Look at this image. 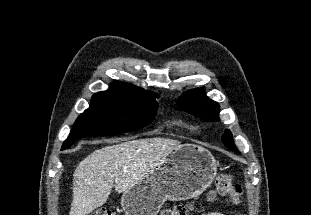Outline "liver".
<instances>
[{
    "mask_svg": "<svg viewBox=\"0 0 311 215\" xmlns=\"http://www.w3.org/2000/svg\"><path fill=\"white\" fill-rule=\"evenodd\" d=\"M119 141L95 150L76 167L70 215H88L105 204L114 181L117 193L127 192L180 146L160 137Z\"/></svg>",
    "mask_w": 311,
    "mask_h": 215,
    "instance_id": "6515ba94",
    "label": "liver"
}]
</instances>
